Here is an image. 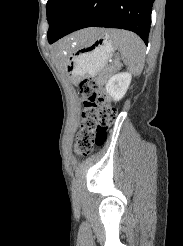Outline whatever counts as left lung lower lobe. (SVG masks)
Masks as SVG:
<instances>
[{
    "instance_id": "0a47b994",
    "label": "left lung lower lobe",
    "mask_w": 183,
    "mask_h": 246,
    "mask_svg": "<svg viewBox=\"0 0 183 246\" xmlns=\"http://www.w3.org/2000/svg\"><path fill=\"white\" fill-rule=\"evenodd\" d=\"M153 2L154 0H81L67 24L56 37L49 39V43L82 28L105 27L133 31L147 45Z\"/></svg>"
}]
</instances>
